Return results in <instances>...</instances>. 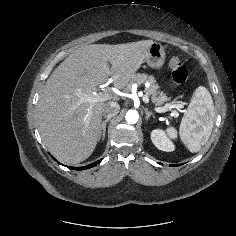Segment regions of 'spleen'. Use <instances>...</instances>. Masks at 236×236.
<instances>
[{"instance_id":"obj_1","label":"spleen","mask_w":236,"mask_h":236,"mask_svg":"<svg viewBox=\"0 0 236 236\" xmlns=\"http://www.w3.org/2000/svg\"><path fill=\"white\" fill-rule=\"evenodd\" d=\"M215 110L210 92L199 86L182 118L179 135L182 142L192 153L198 152L208 141L214 124ZM170 138H177V130L167 128Z\"/></svg>"}]
</instances>
